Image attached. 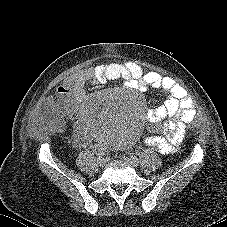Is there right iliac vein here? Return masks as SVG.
<instances>
[{
  "mask_svg": "<svg viewBox=\"0 0 227 227\" xmlns=\"http://www.w3.org/2000/svg\"><path fill=\"white\" fill-rule=\"evenodd\" d=\"M97 164L99 165V166H104L105 164H106V159L104 158V157H99L98 159H97Z\"/></svg>",
  "mask_w": 227,
  "mask_h": 227,
  "instance_id": "63e3f726",
  "label": "right iliac vein"
}]
</instances>
